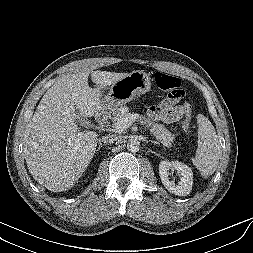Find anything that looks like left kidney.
Here are the masks:
<instances>
[{
    "label": "left kidney",
    "mask_w": 253,
    "mask_h": 253,
    "mask_svg": "<svg viewBox=\"0 0 253 253\" xmlns=\"http://www.w3.org/2000/svg\"><path fill=\"white\" fill-rule=\"evenodd\" d=\"M170 171H176L180 180L177 184L170 180ZM159 175L164 187L178 196H186L192 190L193 173L189 166L179 161H161L159 164Z\"/></svg>",
    "instance_id": "5707ae66"
}]
</instances>
